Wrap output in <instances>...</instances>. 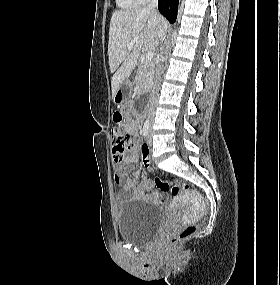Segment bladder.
I'll return each instance as SVG.
<instances>
[{"mask_svg":"<svg viewBox=\"0 0 280 285\" xmlns=\"http://www.w3.org/2000/svg\"><path fill=\"white\" fill-rule=\"evenodd\" d=\"M163 221L162 211L144 200H127L118 207V234L137 245H146L156 237Z\"/></svg>","mask_w":280,"mask_h":285,"instance_id":"bladder-1","label":"bladder"}]
</instances>
